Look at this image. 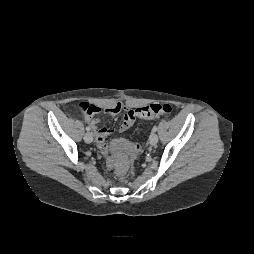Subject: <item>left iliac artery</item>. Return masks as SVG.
I'll list each match as a JSON object with an SVG mask.
<instances>
[{
    "label": "left iliac artery",
    "mask_w": 254,
    "mask_h": 254,
    "mask_svg": "<svg viewBox=\"0 0 254 254\" xmlns=\"http://www.w3.org/2000/svg\"><path fill=\"white\" fill-rule=\"evenodd\" d=\"M157 129H158L157 126H154L153 129H152V131H153V132H156Z\"/></svg>",
    "instance_id": "left-iliac-artery-1"
}]
</instances>
